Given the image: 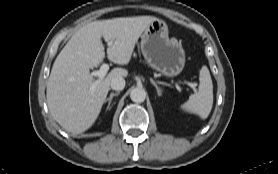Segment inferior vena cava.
Wrapping results in <instances>:
<instances>
[{
  "label": "inferior vena cava",
  "mask_w": 278,
  "mask_h": 174,
  "mask_svg": "<svg viewBox=\"0 0 278 174\" xmlns=\"http://www.w3.org/2000/svg\"><path fill=\"white\" fill-rule=\"evenodd\" d=\"M110 86L113 90L121 91L125 87V80L123 77H115L111 80Z\"/></svg>",
  "instance_id": "1"
}]
</instances>
